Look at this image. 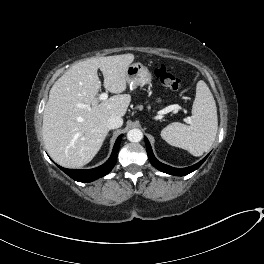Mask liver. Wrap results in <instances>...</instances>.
<instances>
[{"instance_id": "obj_1", "label": "liver", "mask_w": 264, "mask_h": 264, "mask_svg": "<svg viewBox=\"0 0 264 264\" xmlns=\"http://www.w3.org/2000/svg\"><path fill=\"white\" fill-rule=\"evenodd\" d=\"M133 54L89 58L71 66L52 86L43 114V139L50 157L59 165L79 168L98 153L108 134L107 120L123 117L131 102L126 71ZM104 88L117 95L100 102L97 71ZM84 105V107L82 106Z\"/></svg>"}]
</instances>
